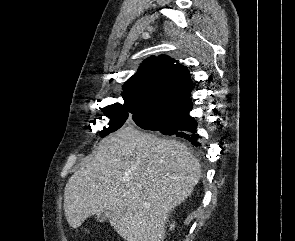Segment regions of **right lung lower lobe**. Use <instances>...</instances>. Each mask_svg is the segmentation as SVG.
<instances>
[{
  "label": "right lung lower lobe",
  "mask_w": 295,
  "mask_h": 241,
  "mask_svg": "<svg viewBox=\"0 0 295 241\" xmlns=\"http://www.w3.org/2000/svg\"><path fill=\"white\" fill-rule=\"evenodd\" d=\"M192 103L174 111L162 119L144 127L145 130L157 131L164 135H173L189 140L194 146H199V135L195 134L197 122L189 115Z\"/></svg>",
  "instance_id": "right-lung-lower-lobe-1"
}]
</instances>
